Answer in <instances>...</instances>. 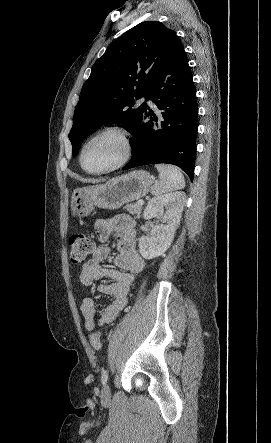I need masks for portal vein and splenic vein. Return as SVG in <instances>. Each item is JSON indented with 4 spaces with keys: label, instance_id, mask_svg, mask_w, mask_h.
I'll list each match as a JSON object with an SVG mask.
<instances>
[{
    "label": "portal vein and splenic vein",
    "instance_id": "18ae733b",
    "mask_svg": "<svg viewBox=\"0 0 271 443\" xmlns=\"http://www.w3.org/2000/svg\"><path fill=\"white\" fill-rule=\"evenodd\" d=\"M138 204H139V206H143V204H144L143 200H138Z\"/></svg>",
    "mask_w": 271,
    "mask_h": 443
}]
</instances>
